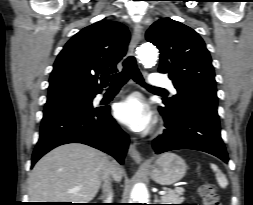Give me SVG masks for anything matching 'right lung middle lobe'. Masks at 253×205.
I'll use <instances>...</instances> for the list:
<instances>
[{
	"mask_svg": "<svg viewBox=\"0 0 253 205\" xmlns=\"http://www.w3.org/2000/svg\"><path fill=\"white\" fill-rule=\"evenodd\" d=\"M94 96L88 97H72L59 99L55 101L47 102L45 109L63 108V107H78V108H89L92 109V100Z\"/></svg>",
	"mask_w": 253,
	"mask_h": 205,
	"instance_id": "dd1d6c3e",
	"label": "right lung middle lobe"
}]
</instances>
